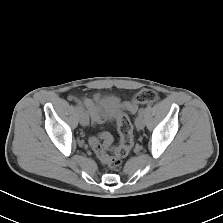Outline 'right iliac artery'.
I'll use <instances>...</instances> for the list:
<instances>
[{
  "instance_id": "1",
  "label": "right iliac artery",
  "mask_w": 223,
  "mask_h": 223,
  "mask_svg": "<svg viewBox=\"0 0 223 223\" xmlns=\"http://www.w3.org/2000/svg\"><path fill=\"white\" fill-rule=\"evenodd\" d=\"M76 109L80 112L82 111V107L80 105H76Z\"/></svg>"
}]
</instances>
